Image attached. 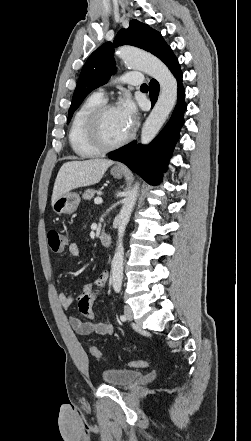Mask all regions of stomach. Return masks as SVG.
Returning a JSON list of instances; mask_svg holds the SVG:
<instances>
[{
    "label": "stomach",
    "instance_id": "stomach-1",
    "mask_svg": "<svg viewBox=\"0 0 251 441\" xmlns=\"http://www.w3.org/2000/svg\"><path fill=\"white\" fill-rule=\"evenodd\" d=\"M122 170L115 168L111 169V174L114 178L120 179L123 175ZM80 202V197L75 192H67L60 196L53 204L52 209L56 214H72L77 210Z\"/></svg>",
    "mask_w": 251,
    "mask_h": 441
}]
</instances>
